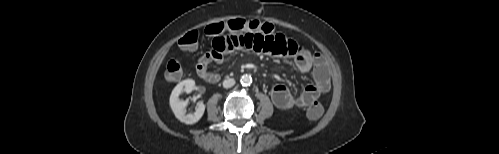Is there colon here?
<instances>
[{
  "instance_id": "5ec220e1",
  "label": "colon",
  "mask_w": 499,
  "mask_h": 154,
  "mask_svg": "<svg viewBox=\"0 0 499 154\" xmlns=\"http://www.w3.org/2000/svg\"><path fill=\"white\" fill-rule=\"evenodd\" d=\"M257 31L263 34H275L276 28L273 24L259 20H245L241 18L232 19L226 22H218L208 25L205 28V33L211 37L218 36L226 31L243 32V31ZM198 42V32L189 31L184 34L179 40V46L182 49H194ZM165 76L169 81H176L182 76V61L179 57H175L167 62ZM324 112L323 106L314 101L308 106L307 116L316 120L319 119Z\"/></svg>"
}]
</instances>
